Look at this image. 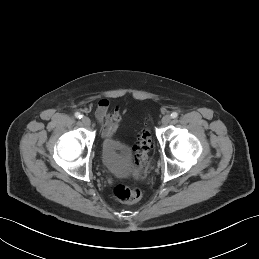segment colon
<instances>
[{"instance_id":"5ec220e1","label":"colon","mask_w":259,"mask_h":259,"mask_svg":"<svg viewBox=\"0 0 259 259\" xmlns=\"http://www.w3.org/2000/svg\"><path fill=\"white\" fill-rule=\"evenodd\" d=\"M152 147V137L148 129H144L138 136L134 145V162L136 167L135 177L144 174L149 165V152ZM113 195L121 203H135L142 197V191L139 188H130L119 184L114 187Z\"/></svg>"}]
</instances>
